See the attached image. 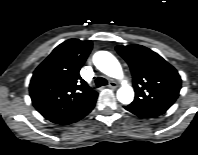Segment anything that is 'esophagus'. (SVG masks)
I'll use <instances>...</instances> for the list:
<instances>
[{"label":"esophagus","instance_id":"34e87169","mask_svg":"<svg viewBox=\"0 0 198 155\" xmlns=\"http://www.w3.org/2000/svg\"><path fill=\"white\" fill-rule=\"evenodd\" d=\"M108 86L112 89H115V88H117L118 84L114 81H110Z\"/></svg>","mask_w":198,"mask_h":155}]
</instances>
